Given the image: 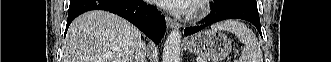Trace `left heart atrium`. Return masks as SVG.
<instances>
[{"label":"left heart atrium","mask_w":331,"mask_h":62,"mask_svg":"<svg viewBox=\"0 0 331 62\" xmlns=\"http://www.w3.org/2000/svg\"><path fill=\"white\" fill-rule=\"evenodd\" d=\"M160 6L176 13H189L193 8V0H158Z\"/></svg>","instance_id":"1"}]
</instances>
